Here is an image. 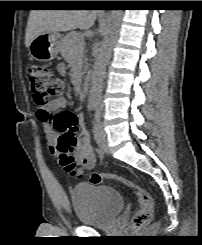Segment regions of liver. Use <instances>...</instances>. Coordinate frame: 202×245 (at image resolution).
I'll use <instances>...</instances> for the list:
<instances>
[{
  "label": "liver",
  "instance_id": "6515ba94",
  "mask_svg": "<svg viewBox=\"0 0 202 245\" xmlns=\"http://www.w3.org/2000/svg\"><path fill=\"white\" fill-rule=\"evenodd\" d=\"M97 18L95 10H31L25 45L29 47L34 38L42 33L65 32L74 29H90Z\"/></svg>",
  "mask_w": 202,
  "mask_h": 245
}]
</instances>
